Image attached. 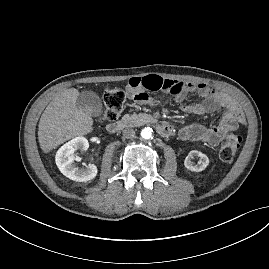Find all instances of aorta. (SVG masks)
Returning a JSON list of instances; mask_svg holds the SVG:
<instances>
[{
  "mask_svg": "<svg viewBox=\"0 0 269 269\" xmlns=\"http://www.w3.org/2000/svg\"><path fill=\"white\" fill-rule=\"evenodd\" d=\"M152 132H153L152 128L146 127L144 129H142V131H141V137L143 139H150L152 137Z\"/></svg>",
  "mask_w": 269,
  "mask_h": 269,
  "instance_id": "1",
  "label": "aorta"
}]
</instances>
